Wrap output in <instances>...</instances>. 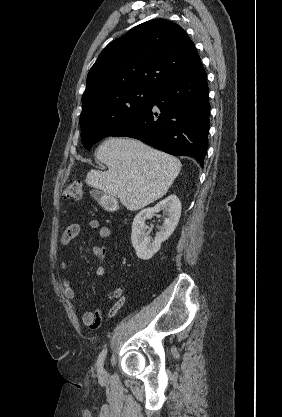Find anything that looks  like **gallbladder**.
<instances>
[{
    "label": "gallbladder",
    "mask_w": 282,
    "mask_h": 417,
    "mask_svg": "<svg viewBox=\"0 0 282 417\" xmlns=\"http://www.w3.org/2000/svg\"><path fill=\"white\" fill-rule=\"evenodd\" d=\"M90 194L91 196H94L95 200L100 202V204L103 202V200H106L104 192H102V190H98V188H93V190H90Z\"/></svg>",
    "instance_id": "1"
}]
</instances>
